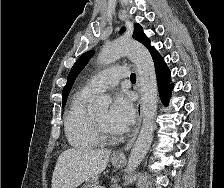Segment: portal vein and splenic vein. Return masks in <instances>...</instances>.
Masks as SVG:
<instances>
[{
  "instance_id": "portal-vein-and-splenic-vein-1",
  "label": "portal vein and splenic vein",
  "mask_w": 224,
  "mask_h": 188,
  "mask_svg": "<svg viewBox=\"0 0 224 188\" xmlns=\"http://www.w3.org/2000/svg\"><path fill=\"white\" fill-rule=\"evenodd\" d=\"M96 188H104L103 186H97Z\"/></svg>"
}]
</instances>
